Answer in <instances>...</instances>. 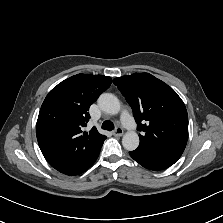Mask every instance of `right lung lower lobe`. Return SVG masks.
<instances>
[{"instance_id":"right-lung-lower-lobe-1","label":"right lung lower lobe","mask_w":223,"mask_h":223,"mask_svg":"<svg viewBox=\"0 0 223 223\" xmlns=\"http://www.w3.org/2000/svg\"><path fill=\"white\" fill-rule=\"evenodd\" d=\"M97 157H98V156H97ZM96 159H97V158H96ZM96 159L91 163V165L96 161ZM91 165H89L88 168H89ZM88 168H87V169H88ZM87 169H86V170H87ZM86 170H85V171H86Z\"/></svg>"}]
</instances>
